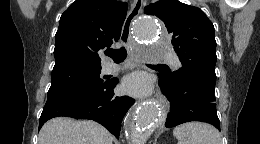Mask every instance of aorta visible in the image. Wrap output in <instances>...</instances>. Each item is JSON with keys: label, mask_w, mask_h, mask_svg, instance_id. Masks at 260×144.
Here are the masks:
<instances>
[{"label": "aorta", "mask_w": 260, "mask_h": 144, "mask_svg": "<svg viewBox=\"0 0 260 144\" xmlns=\"http://www.w3.org/2000/svg\"><path fill=\"white\" fill-rule=\"evenodd\" d=\"M135 33L137 38L145 43L154 45L162 41L157 23L152 17H145L137 21ZM160 53V50L154 51L149 48L141 52L140 56L145 60H149L156 58ZM162 121L161 109L157 102L148 101L137 105L126 119L130 144H146L152 129Z\"/></svg>", "instance_id": "762f6f07"}]
</instances>
